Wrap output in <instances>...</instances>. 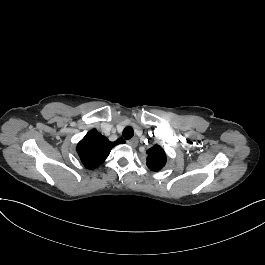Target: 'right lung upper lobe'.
<instances>
[{
  "instance_id": "obj_1",
  "label": "right lung upper lobe",
  "mask_w": 265,
  "mask_h": 265,
  "mask_svg": "<svg viewBox=\"0 0 265 265\" xmlns=\"http://www.w3.org/2000/svg\"><path fill=\"white\" fill-rule=\"evenodd\" d=\"M124 143L123 139L110 142L106 137L98 133L96 129L89 131L78 143L77 152L83 163L88 169L99 166L108 156L111 149Z\"/></svg>"
}]
</instances>
